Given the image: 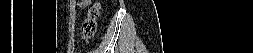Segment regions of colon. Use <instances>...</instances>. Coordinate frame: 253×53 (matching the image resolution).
<instances>
[{
    "instance_id": "colon-1",
    "label": "colon",
    "mask_w": 253,
    "mask_h": 53,
    "mask_svg": "<svg viewBox=\"0 0 253 53\" xmlns=\"http://www.w3.org/2000/svg\"><path fill=\"white\" fill-rule=\"evenodd\" d=\"M100 2L95 1V3L88 10L87 18L82 23L81 27V39L83 41H88L95 35L97 18L100 14Z\"/></svg>"
}]
</instances>
